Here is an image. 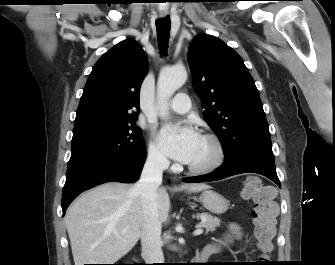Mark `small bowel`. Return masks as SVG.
Instances as JSON below:
<instances>
[{"mask_svg":"<svg viewBox=\"0 0 335 265\" xmlns=\"http://www.w3.org/2000/svg\"><path fill=\"white\" fill-rule=\"evenodd\" d=\"M242 238V231L241 228L236 225L232 224L228 233L222 238L219 243L211 244L216 249V251L221 250L225 246H229L234 239H241Z\"/></svg>","mask_w":335,"mask_h":265,"instance_id":"1","label":"small bowel"}]
</instances>
